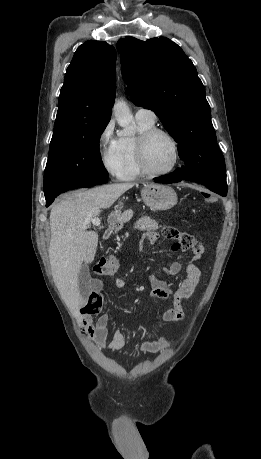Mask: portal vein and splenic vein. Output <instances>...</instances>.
<instances>
[{
  "mask_svg": "<svg viewBox=\"0 0 261 459\" xmlns=\"http://www.w3.org/2000/svg\"><path fill=\"white\" fill-rule=\"evenodd\" d=\"M91 222H92V224H93L94 226H97V227H99L100 224H101V220H100L98 217L92 218V219H91Z\"/></svg>",
  "mask_w": 261,
  "mask_h": 459,
  "instance_id": "18ae733b",
  "label": "portal vein and splenic vein"
}]
</instances>
